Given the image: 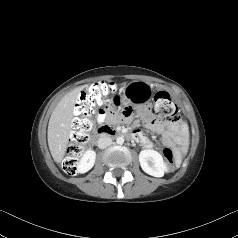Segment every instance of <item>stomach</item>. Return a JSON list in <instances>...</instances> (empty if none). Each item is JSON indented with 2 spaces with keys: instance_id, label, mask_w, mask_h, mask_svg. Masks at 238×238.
Here are the masks:
<instances>
[{
  "instance_id": "1",
  "label": "stomach",
  "mask_w": 238,
  "mask_h": 238,
  "mask_svg": "<svg viewBox=\"0 0 238 238\" xmlns=\"http://www.w3.org/2000/svg\"><path fill=\"white\" fill-rule=\"evenodd\" d=\"M152 97V87L142 81H133L124 87L123 91L117 93L112 99V104L116 108H121L124 104L132 100L135 103L149 101Z\"/></svg>"
}]
</instances>
